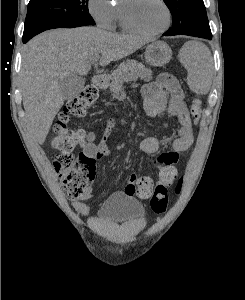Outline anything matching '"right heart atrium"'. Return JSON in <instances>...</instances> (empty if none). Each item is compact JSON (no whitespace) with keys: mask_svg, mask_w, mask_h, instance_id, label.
Listing matches in <instances>:
<instances>
[{"mask_svg":"<svg viewBox=\"0 0 245 300\" xmlns=\"http://www.w3.org/2000/svg\"><path fill=\"white\" fill-rule=\"evenodd\" d=\"M88 10L98 26L114 29L118 17V9L112 0H88Z\"/></svg>","mask_w":245,"mask_h":300,"instance_id":"1","label":"right heart atrium"}]
</instances>
